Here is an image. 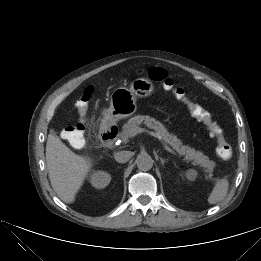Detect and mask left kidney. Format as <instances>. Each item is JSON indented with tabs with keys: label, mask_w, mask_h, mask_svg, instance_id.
Segmentation results:
<instances>
[{
	"label": "left kidney",
	"mask_w": 261,
	"mask_h": 261,
	"mask_svg": "<svg viewBox=\"0 0 261 261\" xmlns=\"http://www.w3.org/2000/svg\"><path fill=\"white\" fill-rule=\"evenodd\" d=\"M185 176L188 180L194 181L197 177V172L196 170L190 169L186 172Z\"/></svg>",
	"instance_id": "1"
}]
</instances>
